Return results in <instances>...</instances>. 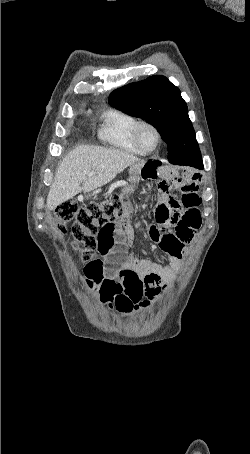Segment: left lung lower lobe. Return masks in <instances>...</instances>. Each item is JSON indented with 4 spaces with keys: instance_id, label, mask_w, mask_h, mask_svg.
I'll return each instance as SVG.
<instances>
[{
    "instance_id": "left-lung-lower-lobe-1",
    "label": "left lung lower lobe",
    "mask_w": 250,
    "mask_h": 454,
    "mask_svg": "<svg viewBox=\"0 0 250 454\" xmlns=\"http://www.w3.org/2000/svg\"><path fill=\"white\" fill-rule=\"evenodd\" d=\"M168 160L175 165H190L199 169L203 168L202 158L193 154L173 156Z\"/></svg>"
}]
</instances>
